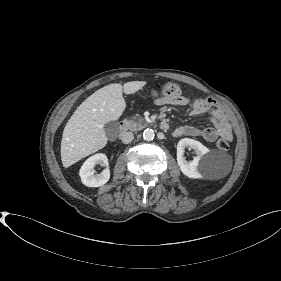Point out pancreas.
<instances>
[{"mask_svg":"<svg viewBox=\"0 0 281 281\" xmlns=\"http://www.w3.org/2000/svg\"><path fill=\"white\" fill-rule=\"evenodd\" d=\"M124 123L126 127L131 131H138L146 126L144 119L141 117L139 118L133 117L131 119H125Z\"/></svg>","mask_w":281,"mask_h":281,"instance_id":"pancreas-1","label":"pancreas"}]
</instances>
